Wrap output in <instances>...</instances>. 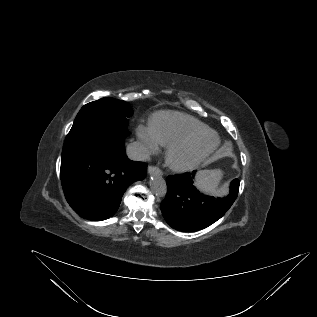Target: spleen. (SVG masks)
I'll list each match as a JSON object with an SVG mask.
<instances>
[{
  "instance_id": "obj_1",
  "label": "spleen",
  "mask_w": 317,
  "mask_h": 317,
  "mask_svg": "<svg viewBox=\"0 0 317 317\" xmlns=\"http://www.w3.org/2000/svg\"><path fill=\"white\" fill-rule=\"evenodd\" d=\"M222 178L221 170H203L197 175L196 186L205 193L214 194Z\"/></svg>"
}]
</instances>
